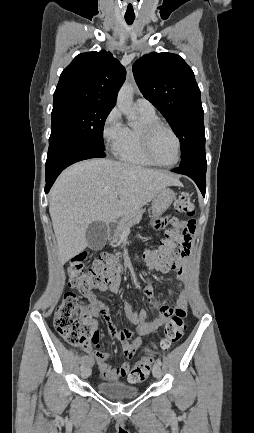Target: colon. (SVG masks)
I'll return each mask as SVG.
<instances>
[{
	"label": "colon",
	"instance_id": "colon-1",
	"mask_svg": "<svg viewBox=\"0 0 254 433\" xmlns=\"http://www.w3.org/2000/svg\"><path fill=\"white\" fill-rule=\"evenodd\" d=\"M177 214L189 218L182 221L172 216L165 219L170 227L158 249L149 251L145 257L147 262L157 268L179 256L190 253L191 239L196 228L195 207L188 194H181L174 205ZM87 255L78 254L66 266V276L72 290L67 291L54 314V327L56 332L70 345L89 347L98 332L97 324L93 319V306L84 304L76 293L93 291L112 281L120 273L118 259L111 254H103L96 258L86 268ZM186 311L183 308H174L170 319L164 326L159 346L163 350L169 349L179 342L184 335ZM153 365L152 357L141 358L131 371V381L141 382L147 378Z\"/></svg>",
	"mask_w": 254,
	"mask_h": 433
}]
</instances>
